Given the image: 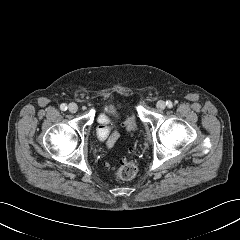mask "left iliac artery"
<instances>
[{
	"instance_id": "obj_1",
	"label": "left iliac artery",
	"mask_w": 240,
	"mask_h": 240,
	"mask_svg": "<svg viewBox=\"0 0 240 240\" xmlns=\"http://www.w3.org/2000/svg\"><path fill=\"white\" fill-rule=\"evenodd\" d=\"M166 105H167L169 108H171V107L173 106V104H172L171 101H167V102H166Z\"/></svg>"
}]
</instances>
